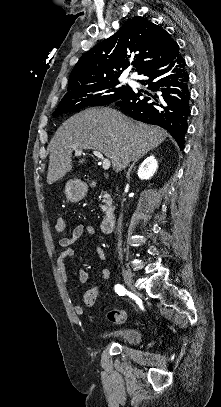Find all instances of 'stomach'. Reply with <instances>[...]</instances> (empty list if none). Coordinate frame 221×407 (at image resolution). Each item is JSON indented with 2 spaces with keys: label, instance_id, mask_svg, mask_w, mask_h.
Here are the masks:
<instances>
[{
  "label": "stomach",
  "instance_id": "0dacf381",
  "mask_svg": "<svg viewBox=\"0 0 221 407\" xmlns=\"http://www.w3.org/2000/svg\"><path fill=\"white\" fill-rule=\"evenodd\" d=\"M87 192V186L81 180H69L65 186V195L68 201L76 203L82 200Z\"/></svg>",
  "mask_w": 221,
  "mask_h": 407
}]
</instances>
